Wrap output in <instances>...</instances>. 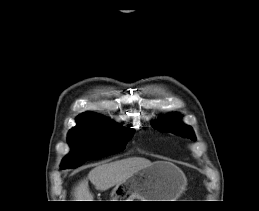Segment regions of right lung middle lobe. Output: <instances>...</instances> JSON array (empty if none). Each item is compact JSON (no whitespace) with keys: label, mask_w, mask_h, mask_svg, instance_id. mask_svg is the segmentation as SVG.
<instances>
[{"label":"right lung middle lobe","mask_w":259,"mask_h":211,"mask_svg":"<svg viewBox=\"0 0 259 211\" xmlns=\"http://www.w3.org/2000/svg\"><path fill=\"white\" fill-rule=\"evenodd\" d=\"M77 123L68 133L72 151L63 159L62 169L120 152L134 134V129L118 127L105 119L82 117Z\"/></svg>","instance_id":"right-lung-middle-lobe-1"}]
</instances>
